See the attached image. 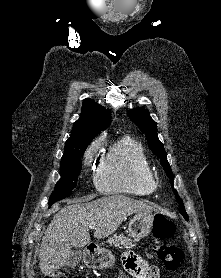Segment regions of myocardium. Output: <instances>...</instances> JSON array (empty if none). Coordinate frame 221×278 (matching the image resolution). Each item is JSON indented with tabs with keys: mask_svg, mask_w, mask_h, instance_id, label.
Here are the masks:
<instances>
[{
	"mask_svg": "<svg viewBox=\"0 0 221 278\" xmlns=\"http://www.w3.org/2000/svg\"><path fill=\"white\" fill-rule=\"evenodd\" d=\"M150 186H151V190H152V191H153L154 189H156L157 183H156V181H155L154 178H151V180H150Z\"/></svg>",
	"mask_w": 221,
	"mask_h": 278,
	"instance_id": "f54148a6",
	"label": "myocardium"
}]
</instances>
